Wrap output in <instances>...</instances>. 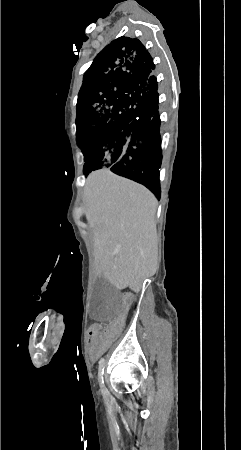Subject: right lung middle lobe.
Here are the masks:
<instances>
[{
	"instance_id": "dd1d6c3e",
	"label": "right lung middle lobe",
	"mask_w": 241,
	"mask_h": 450,
	"mask_svg": "<svg viewBox=\"0 0 241 450\" xmlns=\"http://www.w3.org/2000/svg\"><path fill=\"white\" fill-rule=\"evenodd\" d=\"M146 108L145 100L122 96L114 85L83 82L77 101L76 135L84 154L85 175L112 167L142 142V134L115 131L141 117Z\"/></svg>"
}]
</instances>
